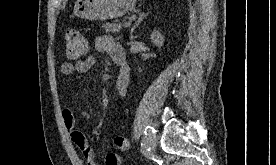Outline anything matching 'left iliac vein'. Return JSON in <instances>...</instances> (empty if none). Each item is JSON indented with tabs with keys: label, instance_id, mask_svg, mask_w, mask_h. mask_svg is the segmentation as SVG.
I'll use <instances>...</instances> for the list:
<instances>
[{
	"label": "left iliac vein",
	"instance_id": "1",
	"mask_svg": "<svg viewBox=\"0 0 276 165\" xmlns=\"http://www.w3.org/2000/svg\"><path fill=\"white\" fill-rule=\"evenodd\" d=\"M156 137H157L156 132L154 131L149 138V146H150L151 150H154L156 147V143H157Z\"/></svg>",
	"mask_w": 276,
	"mask_h": 165
}]
</instances>
